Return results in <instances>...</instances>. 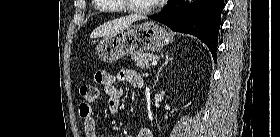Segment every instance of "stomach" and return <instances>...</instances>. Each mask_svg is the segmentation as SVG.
<instances>
[{"label": "stomach", "mask_w": 280, "mask_h": 137, "mask_svg": "<svg viewBox=\"0 0 280 137\" xmlns=\"http://www.w3.org/2000/svg\"><path fill=\"white\" fill-rule=\"evenodd\" d=\"M172 41V36L155 22L130 25L104 38L96 47L103 62L113 63L124 56H137L146 51L158 52Z\"/></svg>", "instance_id": "1"}]
</instances>
